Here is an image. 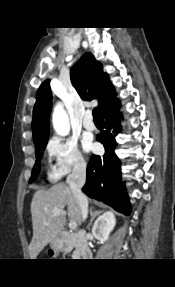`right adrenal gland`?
<instances>
[{
  "instance_id": "1",
  "label": "right adrenal gland",
  "mask_w": 175,
  "mask_h": 287,
  "mask_svg": "<svg viewBox=\"0 0 175 287\" xmlns=\"http://www.w3.org/2000/svg\"><path fill=\"white\" fill-rule=\"evenodd\" d=\"M101 213H102V211H97V210H95L94 212H93V211L90 212L91 220H90V222H89V224H88V226H87L88 229H89L90 226L92 225V222H93L94 218H95L96 216H98L99 214H101Z\"/></svg>"
}]
</instances>
